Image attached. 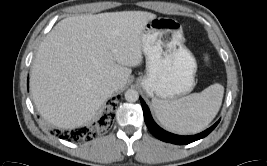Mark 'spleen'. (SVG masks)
<instances>
[{"mask_svg": "<svg viewBox=\"0 0 267 166\" xmlns=\"http://www.w3.org/2000/svg\"><path fill=\"white\" fill-rule=\"evenodd\" d=\"M224 87L213 84L200 93L175 100L154 98L152 105L157 119L167 129L192 134L204 130L217 115L223 99Z\"/></svg>", "mask_w": 267, "mask_h": 166, "instance_id": "spleen-1", "label": "spleen"}]
</instances>
